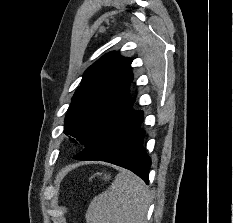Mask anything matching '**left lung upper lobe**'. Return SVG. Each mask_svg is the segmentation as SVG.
<instances>
[{"label":"left lung upper lobe","mask_w":233,"mask_h":223,"mask_svg":"<svg viewBox=\"0 0 233 223\" xmlns=\"http://www.w3.org/2000/svg\"><path fill=\"white\" fill-rule=\"evenodd\" d=\"M131 59L110 52L84 73L65 117L64 133L87 146L108 121L132 98Z\"/></svg>","instance_id":"left-lung-upper-lobe-1"}]
</instances>
